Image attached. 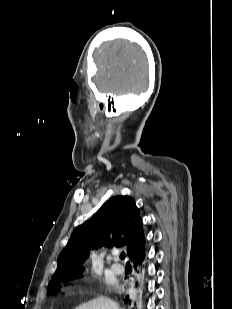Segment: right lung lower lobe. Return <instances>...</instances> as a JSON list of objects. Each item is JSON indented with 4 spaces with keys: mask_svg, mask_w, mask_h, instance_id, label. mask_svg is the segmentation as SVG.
I'll use <instances>...</instances> for the list:
<instances>
[{
    "mask_svg": "<svg viewBox=\"0 0 232 309\" xmlns=\"http://www.w3.org/2000/svg\"><path fill=\"white\" fill-rule=\"evenodd\" d=\"M144 258H145V254L134 262V268H135V270H136L138 273H139V272L142 270V268H143V260H144ZM137 284H138V283H137ZM124 301H125L126 303H128L129 305H132V304H133V306H134L133 309H135V308L138 309L136 302H132V300L130 299L129 295H126V296H125Z\"/></svg>",
    "mask_w": 232,
    "mask_h": 309,
    "instance_id": "right-lung-lower-lobe-1",
    "label": "right lung lower lobe"
}]
</instances>
